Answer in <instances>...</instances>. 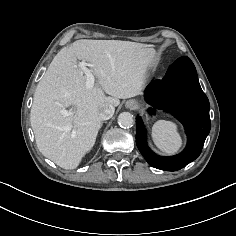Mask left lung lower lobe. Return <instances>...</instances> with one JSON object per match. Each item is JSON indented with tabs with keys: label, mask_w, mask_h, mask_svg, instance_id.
<instances>
[{
	"label": "left lung lower lobe",
	"mask_w": 236,
	"mask_h": 236,
	"mask_svg": "<svg viewBox=\"0 0 236 236\" xmlns=\"http://www.w3.org/2000/svg\"><path fill=\"white\" fill-rule=\"evenodd\" d=\"M145 99L155 109H163L175 116L185 127L188 142L178 155L162 157L146 144V131L141 117L136 118V144L146 161L166 171L180 170L200 155L210 132L209 101L198 81L192 61L183 56L171 65L162 80H156L145 89Z\"/></svg>",
	"instance_id": "1"
}]
</instances>
